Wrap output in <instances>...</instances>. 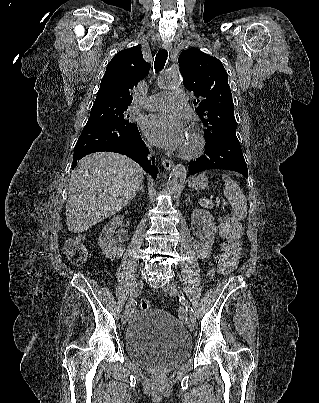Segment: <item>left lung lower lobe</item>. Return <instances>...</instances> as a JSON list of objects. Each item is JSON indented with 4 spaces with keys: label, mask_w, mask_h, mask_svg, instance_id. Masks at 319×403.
Here are the masks:
<instances>
[{
    "label": "left lung lower lobe",
    "mask_w": 319,
    "mask_h": 403,
    "mask_svg": "<svg viewBox=\"0 0 319 403\" xmlns=\"http://www.w3.org/2000/svg\"><path fill=\"white\" fill-rule=\"evenodd\" d=\"M207 169L236 171L245 177L248 169L236 131H229L213 142H206L204 155L189 163V175Z\"/></svg>",
    "instance_id": "1"
}]
</instances>
